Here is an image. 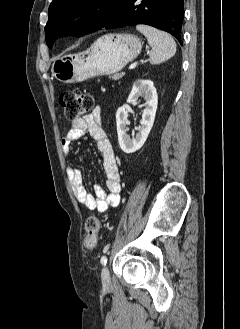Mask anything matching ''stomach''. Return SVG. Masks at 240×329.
<instances>
[{
	"mask_svg": "<svg viewBox=\"0 0 240 329\" xmlns=\"http://www.w3.org/2000/svg\"><path fill=\"white\" fill-rule=\"evenodd\" d=\"M140 52L141 41L135 35L107 34L83 52L57 57L52 63L51 71L60 82H82L120 71Z\"/></svg>",
	"mask_w": 240,
	"mask_h": 329,
	"instance_id": "1",
	"label": "stomach"
}]
</instances>
